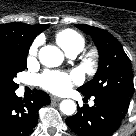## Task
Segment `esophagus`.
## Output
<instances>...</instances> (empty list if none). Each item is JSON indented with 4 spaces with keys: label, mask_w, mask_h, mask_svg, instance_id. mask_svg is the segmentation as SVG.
<instances>
[{
    "label": "esophagus",
    "mask_w": 136,
    "mask_h": 136,
    "mask_svg": "<svg viewBox=\"0 0 136 136\" xmlns=\"http://www.w3.org/2000/svg\"><path fill=\"white\" fill-rule=\"evenodd\" d=\"M61 100H62V98H59V97H56V96H51V101H53V102H59Z\"/></svg>",
    "instance_id": "esophagus-1"
}]
</instances>
